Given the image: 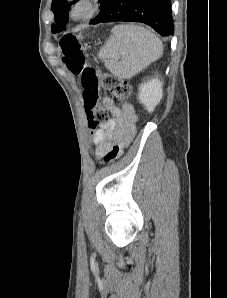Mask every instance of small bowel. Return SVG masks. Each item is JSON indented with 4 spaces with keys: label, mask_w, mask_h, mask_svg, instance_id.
I'll return each mask as SVG.
<instances>
[{
    "label": "small bowel",
    "mask_w": 227,
    "mask_h": 298,
    "mask_svg": "<svg viewBox=\"0 0 227 298\" xmlns=\"http://www.w3.org/2000/svg\"><path fill=\"white\" fill-rule=\"evenodd\" d=\"M103 105L110 112L111 118L94 133L95 155L100 160L115 162L136 133L137 117L129 104L118 107L112 99L105 97Z\"/></svg>",
    "instance_id": "obj_1"
}]
</instances>
